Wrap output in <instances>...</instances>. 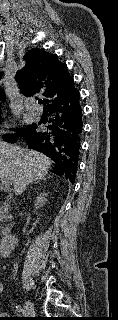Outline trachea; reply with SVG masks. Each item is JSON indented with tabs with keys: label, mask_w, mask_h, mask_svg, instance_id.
I'll use <instances>...</instances> for the list:
<instances>
[{
	"label": "trachea",
	"mask_w": 118,
	"mask_h": 320,
	"mask_svg": "<svg viewBox=\"0 0 118 320\" xmlns=\"http://www.w3.org/2000/svg\"><path fill=\"white\" fill-rule=\"evenodd\" d=\"M38 102H39L40 104H42L43 101H42V100H38Z\"/></svg>",
	"instance_id": "trachea-1"
}]
</instances>
